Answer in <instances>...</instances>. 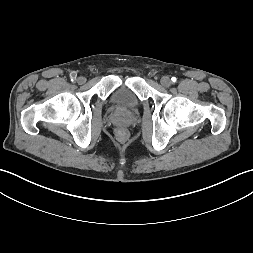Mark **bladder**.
I'll list each match as a JSON object with an SVG mask.
<instances>
[{"label": "bladder", "instance_id": "bladder-1", "mask_svg": "<svg viewBox=\"0 0 253 253\" xmlns=\"http://www.w3.org/2000/svg\"><path fill=\"white\" fill-rule=\"evenodd\" d=\"M111 106L121 110H132L139 106L138 96L128 87H119L115 89L109 97Z\"/></svg>", "mask_w": 253, "mask_h": 253}]
</instances>
